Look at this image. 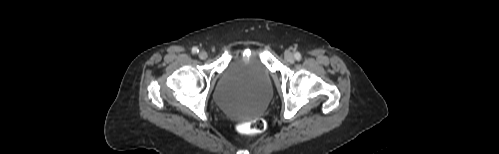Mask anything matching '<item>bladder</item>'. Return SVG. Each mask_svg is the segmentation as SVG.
I'll list each match as a JSON object with an SVG mask.
<instances>
[{
  "label": "bladder",
  "instance_id": "1",
  "mask_svg": "<svg viewBox=\"0 0 499 154\" xmlns=\"http://www.w3.org/2000/svg\"><path fill=\"white\" fill-rule=\"evenodd\" d=\"M273 92L271 73L259 50L233 55L214 90V100L228 114L251 116L267 106Z\"/></svg>",
  "mask_w": 499,
  "mask_h": 154
}]
</instances>
